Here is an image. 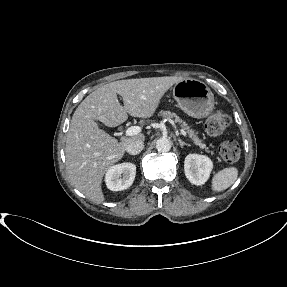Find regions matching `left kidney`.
Listing matches in <instances>:
<instances>
[{
    "instance_id": "obj_1",
    "label": "left kidney",
    "mask_w": 287,
    "mask_h": 287,
    "mask_svg": "<svg viewBox=\"0 0 287 287\" xmlns=\"http://www.w3.org/2000/svg\"><path fill=\"white\" fill-rule=\"evenodd\" d=\"M212 168V161L204 155L189 154L184 161L185 175L194 185L204 184L208 180Z\"/></svg>"
}]
</instances>
